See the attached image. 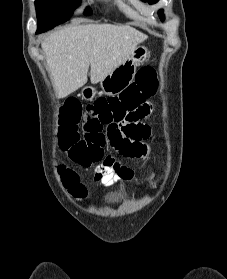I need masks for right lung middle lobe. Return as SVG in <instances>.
Segmentation results:
<instances>
[{
	"label": "right lung middle lobe",
	"mask_w": 227,
	"mask_h": 279,
	"mask_svg": "<svg viewBox=\"0 0 227 279\" xmlns=\"http://www.w3.org/2000/svg\"><path fill=\"white\" fill-rule=\"evenodd\" d=\"M79 4L78 0H36L38 33L49 30L68 20ZM89 14H91V10L87 7L84 15Z\"/></svg>",
	"instance_id": "dd1d6c3e"
}]
</instances>
